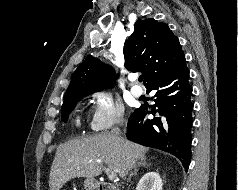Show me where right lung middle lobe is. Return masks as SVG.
<instances>
[{"mask_svg": "<svg viewBox=\"0 0 238 190\" xmlns=\"http://www.w3.org/2000/svg\"><path fill=\"white\" fill-rule=\"evenodd\" d=\"M88 94H78L66 97L64 103L62 105L61 111V118L64 122L67 121L69 113L74 109L77 102H79L84 96Z\"/></svg>", "mask_w": 238, "mask_h": 190, "instance_id": "1", "label": "right lung middle lobe"}]
</instances>
